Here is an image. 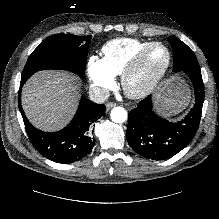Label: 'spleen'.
Masks as SVG:
<instances>
[{
	"instance_id": "3e777b00",
	"label": "spleen",
	"mask_w": 219,
	"mask_h": 219,
	"mask_svg": "<svg viewBox=\"0 0 219 219\" xmlns=\"http://www.w3.org/2000/svg\"><path fill=\"white\" fill-rule=\"evenodd\" d=\"M171 92L175 93V97L177 99H173V102L169 101L170 105H176L178 102L182 104L188 102L189 96L186 94L184 88L181 85L173 86Z\"/></svg>"
}]
</instances>
